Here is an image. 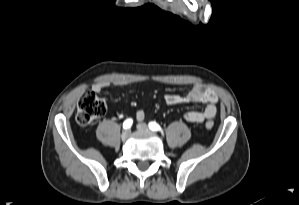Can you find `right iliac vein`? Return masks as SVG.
<instances>
[{"instance_id": "obj_1", "label": "right iliac vein", "mask_w": 299, "mask_h": 205, "mask_svg": "<svg viewBox=\"0 0 299 205\" xmlns=\"http://www.w3.org/2000/svg\"><path fill=\"white\" fill-rule=\"evenodd\" d=\"M130 134H131L130 130H125L121 136L122 140L126 141L129 138Z\"/></svg>"}]
</instances>
